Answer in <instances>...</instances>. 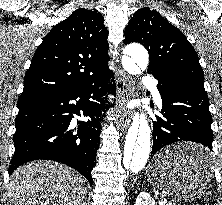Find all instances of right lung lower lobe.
<instances>
[{
    "label": "right lung lower lobe",
    "instance_id": "1",
    "mask_svg": "<svg viewBox=\"0 0 222 205\" xmlns=\"http://www.w3.org/2000/svg\"><path fill=\"white\" fill-rule=\"evenodd\" d=\"M112 78L110 71L66 92L20 97L9 175L26 162L45 159L74 168L92 185L91 170L100 144L101 118L110 106L106 94L115 95L116 91ZM109 79L113 84H109ZM75 114L89 116L90 120L78 121L74 127Z\"/></svg>",
    "mask_w": 222,
    "mask_h": 205
}]
</instances>
